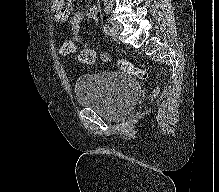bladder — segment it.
<instances>
[{
  "mask_svg": "<svg viewBox=\"0 0 219 192\" xmlns=\"http://www.w3.org/2000/svg\"><path fill=\"white\" fill-rule=\"evenodd\" d=\"M74 93L79 106L96 110L108 121H119L136 106L140 87L126 74L102 71L78 77Z\"/></svg>",
  "mask_w": 219,
  "mask_h": 192,
  "instance_id": "1",
  "label": "bladder"
}]
</instances>
